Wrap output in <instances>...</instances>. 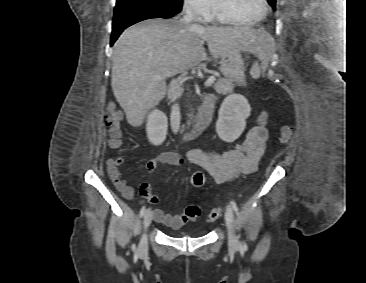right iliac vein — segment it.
<instances>
[{
	"label": "right iliac vein",
	"instance_id": "right-iliac-vein-1",
	"mask_svg": "<svg viewBox=\"0 0 366 283\" xmlns=\"http://www.w3.org/2000/svg\"><path fill=\"white\" fill-rule=\"evenodd\" d=\"M152 221V212L151 210H147L145 215H144V221H143V226L144 229H147L149 227V225L151 224ZM148 248V241H147V236L146 234H143L140 243H139V252L140 253H144Z\"/></svg>",
	"mask_w": 366,
	"mask_h": 283
}]
</instances>
